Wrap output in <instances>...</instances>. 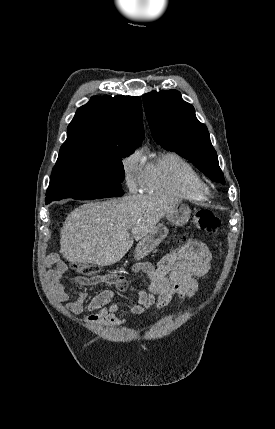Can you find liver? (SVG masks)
I'll use <instances>...</instances> for the list:
<instances>
[{
    "label": "liver",
    "mask_w": 275,
    "mask_h": 429,
    "mask_svg": "<svg viewBox=\"0 0 275 429\" xmlns=\"http://www.w3.org/2000/svg\"><path fill=\"white\" fill-rule=\"evenodd\" d=\"M176 205L172 199L141 195L81 205L63 224L60 252L73 264L113 265Z\"/></svg>",
    "instance_id": "6515ba94"
}]
</instances>
